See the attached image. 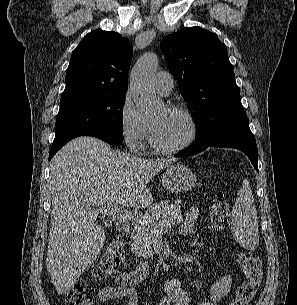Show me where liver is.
Instances as JSON below:
<instances>
[{
  "label": "liver",
  "instance_id": "liver-1",
  "mask_svg": "<svg viewBox=\"0 0 297 305\" xmlns=\"http://www.w3.org/2000/svg\"><path fill=\"white\" fill-rule=\"evenodd\" d=\"M175 161L116 152L94 137L73 139L51 160V226L46 266L59 294L69 292L93 264L105 242L95 221L99 209L121 204L145 208L153 202L147 184Z\"/></svg>",
  "mask_w": 297,
  "mask_h": 305
}]
</instances>
